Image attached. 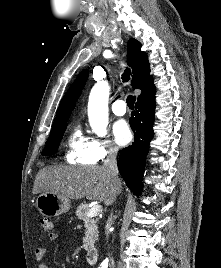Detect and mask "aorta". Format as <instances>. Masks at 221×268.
Returning a JSON list of instances; mask_svg holds the SVG:
<instances>
[{"label": "aorta", "mask_w": 221, "mask_h": 268, "mask_svg": "<svg viewBox=\"0 0 221 268\" xmlns=\"http://www.w3.org/2000/svg\"><path fill=\"white\" fill-rule=\"evenodd\" d=\"M109 91L108 83L101 81L93 86L89 96V123L92 131L101 137L107 134Z\"/></svg>", "instance_id": "762f6f07"}]
</instances>
